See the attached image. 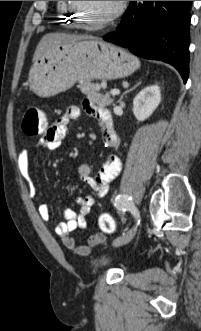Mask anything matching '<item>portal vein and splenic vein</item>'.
<instances>
[{"label": "portal vein and splenic vein", "instance_id": "1", "mask_svg": "<svg viewBox=\"0 0 201 331\" xmlns=\"http://www.w3.org/2000/svg\"><path fill=\"white\" fill-rule=\"evenodd\" d=\"M111 95H118L120 94V91L118 89H113L110 91Z\"/></svg>", "mask_w": 201, "mask_h": 331}]
</instances>
